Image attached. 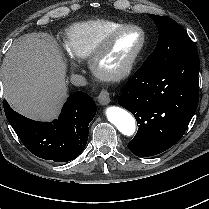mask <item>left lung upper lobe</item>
Listing matches in <instances>:
<instances>
[{
	"label": "left lung upper lobe",
	"instance_id": "5c2ea615",
	"mask_svg": "<svg viewBox=\"0 0 209 209\" xmlns=\"http://www.w3.org/2000/svg\"><path fill=\"white\" fill-rule=\"evenodd\" d=\"M150 17L159 29V37L155 50L143 67L159 70L197 55L194 43L176 21L167 16L150 14Z\"/></svg>",
	"mask_w": 209,
	"mask_h": 209
}]
</instances>
